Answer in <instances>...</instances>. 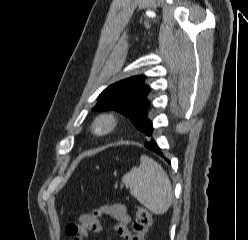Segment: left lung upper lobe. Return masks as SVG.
I'll return each mask as SVG.
<instances>
[{"instance_id":"obj_1","label":"left lung upper lobe","mask_w":248,"mask_h":240,"mask_svg":"<svg viewBox=\"0 0 248 240\" xmlns=\"http://www.w3.org/2000/svg\"><path fill=\"white\" fill-rule=\"evenodd\" d=\"M145 76H134L107 87L98 97L94 111L115 110L127 118L146 136L151 128L148 118L150 87L144 83Z\"/></svg>"}]
</instances>
